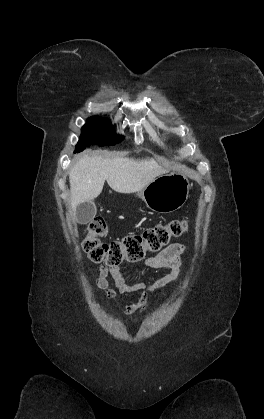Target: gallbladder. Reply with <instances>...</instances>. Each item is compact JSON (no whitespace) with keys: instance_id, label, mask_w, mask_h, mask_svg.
Returning a JSON list of instances; mask_svg holds the SVG:
<instances>
[{"instance_id":"1","label":"gallbladder","mask_w":264,"mask_h":419,"mask_svg":"<svg viewBox=\"0 0 264 419\" xmlns=\"http://www.w3.org/2000/svg\"><path fill=\"white\" fill-rule=\"evenodd\" d=\"M96 214V206L93 202H84L77 206L76 217L80 224L91 221Z\"/></svg>"}]
</instances>
